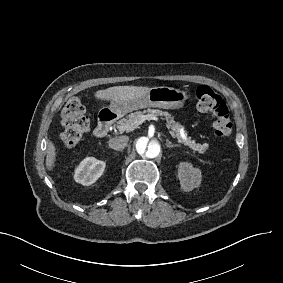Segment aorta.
Masks as SVG:
<instances>
[{
  "label": "aorta",
  "instance_id": "obj_1",
  "mask_svg": "<svg viewBox=\"0 0 283 283\" xmlns=\"http://www.w3.org/2000/svg\"><path fill=\"white\" fill-rule=\"evenodd\" d=\"M136 156L143 162L158 161L162 153V140L157 134H142L134 142Z\"/></svg>",
  "mask_w": 283,
  "mask_h": 283
}]
</instances>
